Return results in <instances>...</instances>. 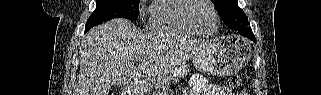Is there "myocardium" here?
<instances>
[{"mask_svg":"<svg viewBox=\"0 0 321 95\" xmlns=\"http://www.w3.org/2000/svg\"><path fill=\"white\" fill-rule=\"evenodd\" d=\"M196 2L207 3L212 9L215 24H214L213 30L208 33H204L201 30H199L194 24L193 20L191 19V10ZM183 16H184V21L187 23V25L199 36H206V37L211 36L217 31V28L219 25L218 13L211 0H188V5L184 9Z\"/></svg>","mask_w":321,"mask_h":95,"instance_id":"1","label":"myocardium"}]
</instances>
